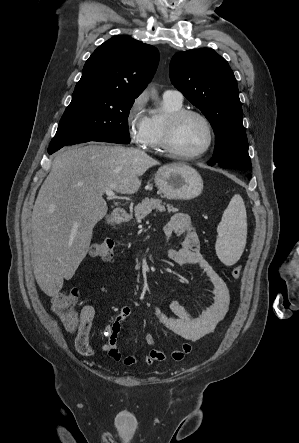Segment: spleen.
I'll list each match as a JSON object with an SVG mask.
<instances>
[{
  "label": "spleen",
  "mask_w": 299,
  "mask_h": 443,
  "mask_svg": "<svg viewBox=\"0 0 299 443\" xmlns=\"http://www.w3.org/2000/svg\"><path fill=\"white\" fill-rule=\"evenodd\" d=\"M216 253L227 266L241 257L247 238V216L244 201L239 194L232 197L217 227Z\"/></svg>",
  "instance_id": "spleen-1"
}]
</instances>
